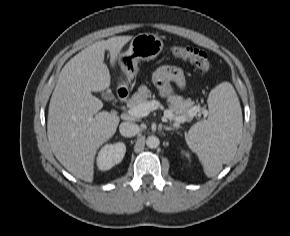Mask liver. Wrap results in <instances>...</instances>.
Here are the masks:
<instances>
[{
  "label": "liver",
  "mask_w": 290,
  "mask_h": 236,
  "mask_svg": "<svg viewBox=\"0 0 290 236\" xmlns=\"http://www.w3.org/2000/svg\"><path fill=\"white\" fill-rule=\"evenodd\" d=\"M131 39L115 36L76 54L61 70L50 99L47 136L52 152L72 175L86 182L93 181L97 150L115 134L120 122L115 113L99 112L103 103L92 94L110 86L105 50L114 68L121 49Z\"/></svg>",
  "instance_id": "liver-1"
}]
</instances>
